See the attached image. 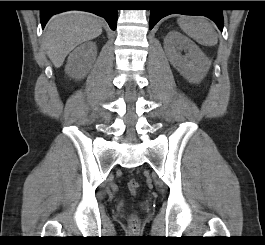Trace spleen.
<instances>
[{
	"label": "spleen",
	"mask_w": 265,
	"mask_h": 245,
	"mask_svg": "<svg viewBox=\"0 0 265 245\" xmlns=\"http://www.w3.org/2000/svg\"><path fill=\"white\" fill-rule=\"evenodd\" d=\"M177 22L182 31L199 44L214 46L218 43V37L213 26L204 18L199 16H180Z\"/></svg>",
	"instance_id": "obj_1"
}]
</instances>
